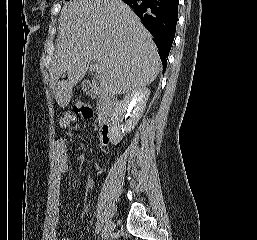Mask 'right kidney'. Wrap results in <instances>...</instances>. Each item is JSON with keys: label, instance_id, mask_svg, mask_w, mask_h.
Returning <instances> with one entry per match:
<instances>
[{"label": "right kidney", "instance_id": "ca27d5eb", "mask_svg": "<svg viewBox=\"0 0 257 240\" xmlns=\"http://www.w3.org/2000/svg\"><path fill=\"white\" fill-rule=\"evenodd\" d=\"M150 95V90L146 87L134 89L127 93L125 97L115 106L112 115V125L109 132V137L112 144H118L123 138V131L131 132L137 125L139 119L142 117ZM130 111L129 119L125 126L121 127L118 121L121 119L123 113Z\"/></svg>", "mask_w": 257, "mask_h": 240}]
</instances>
